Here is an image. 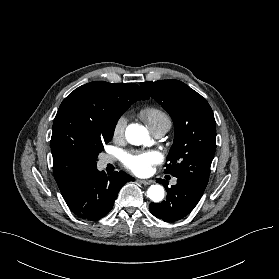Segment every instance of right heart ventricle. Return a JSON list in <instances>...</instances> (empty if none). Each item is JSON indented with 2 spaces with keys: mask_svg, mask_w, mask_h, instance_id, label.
<instances>
[{
  "mask_svg": "<svg viewBox=\"0 0 279 279\" xmlns=\"http://www.w3.org/2000/svg\"><path fill=\"white\" fill-rule=\"evenodd\" d=\"M139 116L152 132L162 126L171 125L169 116L163 110L155 106L142 108L139 111Z\"/></svg>",
  "mask_w": 279,
  "mask_h": 279,
  "instance_id": "1",
  "label": "right heart ventricle"
}]
</instances>
